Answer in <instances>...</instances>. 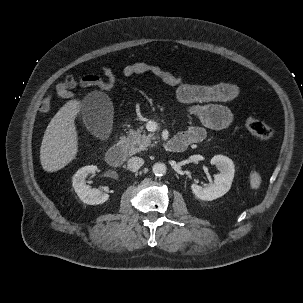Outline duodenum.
<instances>
[{
    "mask_svg": "<svg viewBox=\"0 0 303 303\" xmlns=\"http://www.w3.org/2000/svg\"><path fill=\"white\" fill-rule=\"evenodd\" d=\"M190 145L189 141L177 135L165 143V149L169 152H182ZM126 147L123 143H117L111 146L106 153V161L111 166H119L126 158Z\"/></svg>",
    "mask_w": 303,
    "mask_h": 303,
    "instance_id": "410a0bca",
    "label": "duodenum"
}]
</instances>
